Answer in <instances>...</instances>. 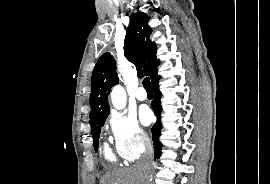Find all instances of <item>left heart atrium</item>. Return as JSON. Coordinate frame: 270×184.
Instances as JSON below:
<instances>
[{
	"instance_id": "39dd6f15",
	"label": "left heart atrium",
	"mask_w": 270,
	"mask_h": 184,
	"mask_svg": "<svg viewBox=\"0 0 270 184\" xmlns=\"http://www.w3.org/2000/svg\"><path fill=\"white\" fill-rule=\"evenodd\" d=\"M140 119L144 125L150 124V122L152 121L151 111L148 108L142 109V111L140 113Z\"/></svg>"
}]
</instances>
